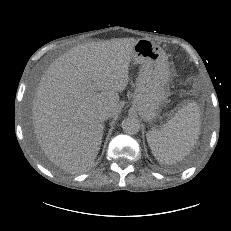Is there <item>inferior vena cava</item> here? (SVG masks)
Listing matches in <instances>:
<instances>
[{"instance_id":"obj_1","label":"inferior vena cava","mask_w":231,"mask_h":231,"mask_svg":"<svg viewBox=\"0 0 231 231\" xmlns=\"http://www.w3.org/2000/svg\"><path fill=\"white\" fill-rule=\"evenodd\" d=\"M98 117L101 121H105L110 117V111L108 108H104L102 109L99 114Z\"/></svg>"}]
</instances>
